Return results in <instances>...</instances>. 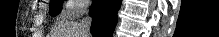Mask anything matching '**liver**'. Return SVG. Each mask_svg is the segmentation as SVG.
Instances as JSON below:
<instances>
[{"label": "liver", "mask_w": 219, "mask_h": 37, "mask_svg": "<svg viewBox=\"0 0 219 37\" xmlns=\"http://www.w3.org/2000/svg\"><path fill=\"white\" fill-rule=\"evenodd\" d=\"M79 24L76 22H66L60 24L56 31L55 37H80L78 36Z\"/></svg>", "instance_id": "liver-1"}]
</instances>
